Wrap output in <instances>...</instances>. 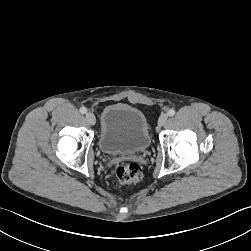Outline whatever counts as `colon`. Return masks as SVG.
<instances>
[{"instance_id":"1","label":"colon","mask_w":251,"mask_h":251,"mask_svg":"<svg viewBox=\"0 0 251 251\" xmlns=\"http://www.w3.org/2000/svg\"><path fill=\"white\" fill-rule=\"evenodd\" d=\"M115 176L122 184L137 183L142 179V169L134 162L121 164L116 167Z\"/></svg>"}]
</instances>
